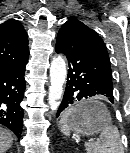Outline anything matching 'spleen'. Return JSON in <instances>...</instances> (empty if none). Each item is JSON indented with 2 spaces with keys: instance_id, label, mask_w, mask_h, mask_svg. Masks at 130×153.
I'll list each match as a JSON object with an SVG mask.
<instances>
[{
  "instance_id": "spleen-1",
  "label": "spleen",
  "mask_w": 130,
  "mask_h": 153,
  "mask_svg": "<svg viewBox=\"0 0 130 153\" xmlns=\"http://www.w3.org/2000/svg\"><path fill=\"white\" fill-rule=\"evenodd\" d=\"M74 111L75 108L71 107L66 110L61 117L60 130L65 135L70 134V128L67 121ZM85 146L87 153H123L118 128L111 125V123L103 127L100 140L93 145L86 143Z\"/></svg>"
}]
</instances>
